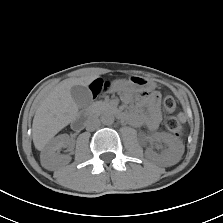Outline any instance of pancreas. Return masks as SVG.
Returning <instances> with one entry per match:
<instances>
[{
    "label": "pancreas",
    "instance_id": "obj_1",
    "mask_svg": "<svg viewBox=\"0 0 223 223\" xmlns=\"http://www.w3.org/2000/svg\"><path fill=\"white\" fill-rule=\"evenodd\" d=\"M110 108L111 106L107 101H97L91 105V111L94 113H102Z\"/></svg>",
    "mask_w": 223,
    "mask_h": 223
}]
</instances>
